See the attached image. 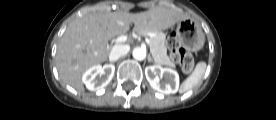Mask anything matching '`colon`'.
Returning <instances> with one entry per match:
<instances>
[{
	"label": "colon",
	"instance_id": "1",
	"mask_svg": "<svg viewBox=\"0 0 276 120\" xmlns=\"http://www.w3.org/2000/svg\"><path fill=\"white\" fill-rule=\"evenodd\" d=\"M167 45L171 53L173 61L177 62L184 73H190L194 67V60L180 43L177 35L172 34L167 40Z\"/></svg>",
	"mask_w": 276,
	"mask_h": 120
}]
</instances>
